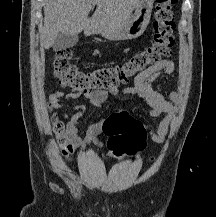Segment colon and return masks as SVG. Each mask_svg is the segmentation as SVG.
<instances>
[{
    "label": "colon",
    "instance_id": "1",
    "mask_svg": "<svg viewBox=\"0 0 216 217\" xmlns=\"http://www.w3.org/2000/svg\"><path fill=\"white\" fill-rule=\"evenodd\" d=\"M177 2L178 0H156L153 39L146 48L134 53L125 62L84 71L70 63L71 51L65 49L59 51L54 58V77L60 84L75 90L106 89L125 83L137 73L164 60L170 55L174 43L173 7ZM52 128L62 146V153L67 155L70 150L66 146L64 123L55 119ZM104 132L109 137L108 155L112 157H134L146 144V131L142 123L125 113L108 119Z\"/></svg>",
    "mask_w": 216,
    "mask_h": 217
}]
</instances>
